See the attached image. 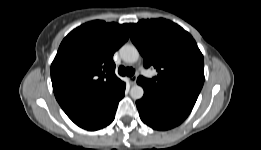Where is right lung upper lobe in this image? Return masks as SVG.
<instances>
[{"instance_id":"obj_1","label":"right lung upper lobe","mask_w":261,"mask_h":150,"mask_svg":"<svg viewBox=\"0 0 261 150\" xmlns=\"http://www.w3.org/2000/svg\"><path fill=\"white\" fill-rule=\"evenodd\" d=\"M128 24L91 21L71 31L51 65L55 97L76 124L125 91L115 75L113 54L129 38Z\"/></svg>"}]
</instances>
